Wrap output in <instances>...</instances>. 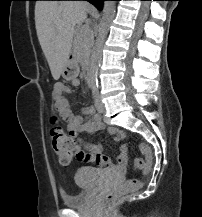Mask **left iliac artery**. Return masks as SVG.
Here are the masks:
<instances>
[{
  "mask_svg": "<svg viewBox=\"0 0 202 217\" xmlns=\"http://www.w3.org/2000/svg\"><path fill=\"white\" fill-rule=\"evenodd\" d=\"M92 93L94 96L98 93V82H93L91 85Z\"/></svg>",
  "mask_w": 202,
  "mask_h": 217,
  "instance_id": "left-iliac-artery-1",
  "label": "left iliac artery"
}]
</instances>
